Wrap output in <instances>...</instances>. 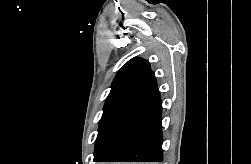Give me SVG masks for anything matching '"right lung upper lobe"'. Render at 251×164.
<instances>
[{"instance_id":"1","label":"right lung upper lobe","mask_w":251,"mask_h":164,"mask_svg":"<svg viewBox=\"0 0 251 164\" xmlns=\"http://www.w3.org/2000/svg\"><path fill=\"white\" fill-rule=\"evenodd\" d=\"M157 86L149 63L142 58L129 60L117 73L111 85V92L120 90L146 91Z\"/></svg>"}]
</instances>
